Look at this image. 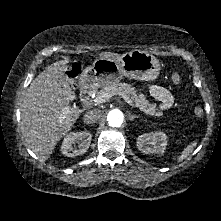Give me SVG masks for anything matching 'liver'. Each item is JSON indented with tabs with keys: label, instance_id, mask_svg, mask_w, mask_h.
<instances>
[{
	"label": "liver",
	"instance_id": "6515ba94",
	"mask_svg": "<svg viewBox=\"0 0 221 221\" xmlns=\"http://www.w3.org/2000/svg\"><path fill=\"white\" fill-rule=\"evenodd\" d=\"M121 55L102 52L99 57L117 59ZM68 59L49 65L28 87L21 106V130L27 146L40 160H47L57 142L73 127L82 113L69 106L75 98L64 70ZM69 112L63 114V109ZM64 116L63 120L60 117Z\"/></svg>",
	"mask_w": 221,
	"mask_h": 221
}]
</instances>
